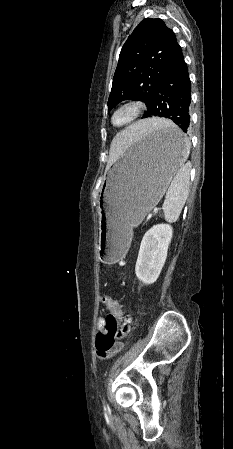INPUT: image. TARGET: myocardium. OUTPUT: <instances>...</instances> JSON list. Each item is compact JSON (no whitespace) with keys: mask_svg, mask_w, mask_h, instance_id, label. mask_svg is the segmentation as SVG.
Segmentation results:
<instances>
[{"mask_svg":"<svg viewBox=\"0 0 233 449\" xmlns=\"http://www.w3.org/2000/svg\"><path fill=\"white\" fill-rule=\"evenodd\" d=\"M143 111V104L139 101H127L121 103L112 111L110 116V122L114 127L120 128L134 122ZM120 114H125L122 121H117V117Z\"/></svg>","mask_w":233,"mask_h":449,"instance_id":"1","label":"myocardium"}]
</instances>
